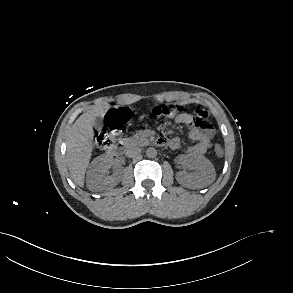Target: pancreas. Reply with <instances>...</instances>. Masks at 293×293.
<instances>
[{
  "instance_id": "cf45deb5",
  "label": "pancreas",
  "mask_w": 293,
  "mask_h": 293,
  "mask_svg": "<svg viewBox=\"0 0 293 293\" xmlns=\"http://www.w3.org/2000/svg\"><path fill=\"white\" fill-rule=\"evenodd\" d=\"M125 142L130 146H145L149 143L145 131H138L134 136L127 138Z\"/></svg>"
}]
</instances>
